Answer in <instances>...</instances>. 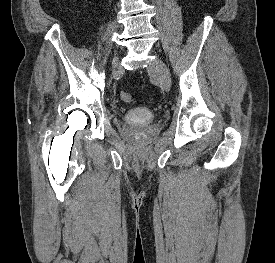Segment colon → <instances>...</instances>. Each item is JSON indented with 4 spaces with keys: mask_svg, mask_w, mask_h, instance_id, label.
<instances>
[{
    "mask_svg": "<svg viewBox=\"0 0 275 263\" xmlns=\"http://www.w3.org/2000/svg\"><path fill=\"white\" fill-rule=\"evenodd\" d=\"M120 98L122 101L127 102V103H132L135 102L136 97L134 94L126 92V91H121L120 92Z\"/></svg>",
    "mask_w": 275,
    "mask_h": 263,
    "instance_id": "5ec220e1",
    "label": "colon"
}]
</instances>
